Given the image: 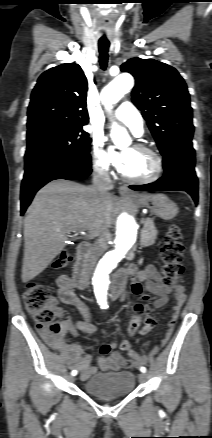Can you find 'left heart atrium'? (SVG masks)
<instances>
[{"instance_id": "left-heart-atrium-1", "label": "left heart atrium", "mask_w": 212, "mask_h": 438, "mask_svg": "<svg viewBox=\"0 0 212 438\" xmlns=\"http://www.w3.org/2000/svg\"><path fill=\"white\" fill-rule=\"evenodd\" d=\"M127 160V152L113 153V163L120 171H122L126 166Z\"/></svg>"}]
</instances>
